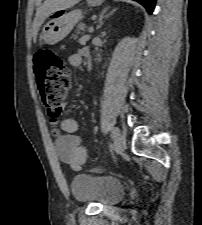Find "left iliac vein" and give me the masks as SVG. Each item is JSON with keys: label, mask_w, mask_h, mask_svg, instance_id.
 Returning a JSON list of instances; mask_svg holds the SVG:
<instances>
[{"label": "left iliac vein", "mask_w": 202, "mask_h": 225, "mask_svg": "<svg viewBox=\"0 0 202 225\" xmlns=\"http://www.w3.org/2000/svg\"><path fill=\"white\" fill-rule=\"evenodd\" d=\"M126 148V139L122 135H118L117 137V153L121 154L124 152Z\"/></svg>", "instance_id": "left-iliac-vein-1"}]
</instances>
